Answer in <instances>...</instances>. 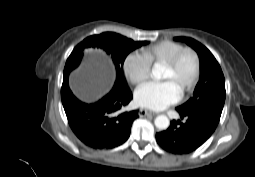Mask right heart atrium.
I'll return each mask as SVG.
<instances>
[{
  "instance_id": "obj_1",
  "label": "right heart atrium",
  "mask_w": 255,
  "mask_h": 177,
  "mask_svg": "<svg viewBox=\"0 0 255 177\" xmlns=\"http://www.w3.org/2000/svg\"><path fill=\"white\" fill-rule=\"evenodd\" d=\"M123 71L132 84L138 85L149 77L151 63L143 53L132 52L124 60Z\"/></svg>"
}]
</instances>
